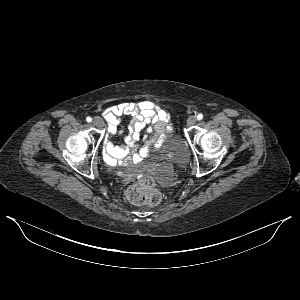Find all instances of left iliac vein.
Returning a JSON list of instances; mask_svg holds the SVG:
<instances>
[{
    "instance_id": "left-iliac-vein-1",
    "label": "left iliac vein",
    "mask_w": 300,
    "mask_h": 300,
    "mask_svg": "<svg viewBox=\"0 0 300 300\" xmlns=\"http://www.w3.org/2000/svg\"><path fill=\"white\" fill-rule=\"evenodd\" d=\"M196 120H197L196 116L194 115L189 116V118L187 119V125L188 126L194 125L196 123Z\"/></svg>"
}]
</instances>
